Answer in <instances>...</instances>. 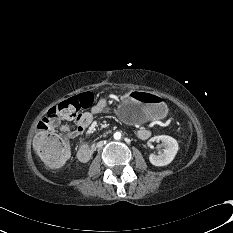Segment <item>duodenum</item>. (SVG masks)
Wrapping results in <instances>:
<instances>
[{
	"label": "duodenum",
	"instance_id": "obj_1",
	"mask_svg": "<svg viewBox=\"0 0 233 233\" xmlns=\"http://www.w3.org/2000/svg\"><path fill=\"white\" fill-rule=\"evenodd\" d=\"M96 147L90 145H82L78 150V158L81 162H88L95 152Z\"/></svg>",
	"mask_w": 233,
	"mask_h": 233
}]
</instances>
